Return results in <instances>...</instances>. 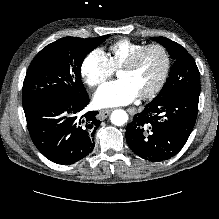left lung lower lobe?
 Returning a JSON list of instances; mask_svg holds the SVG:
<instances>
[{
  "instance_id": "0a47b994",
  "label": "left lung lower lobe",
  "mask_w": 219,
  "mask_h": 219,
  "mask_svg": "<svg viewBox=\"0 0 219 219\" xmlns=\"http://www.w3.org/2000/svg\"><path fill=\"white\" fill-rule=\"evenodd\" d=\"M200 89H185L163 100H152L126 128L131 150L149 161L175 156L196 122Z\"/></svg>"
}]
</instances>
